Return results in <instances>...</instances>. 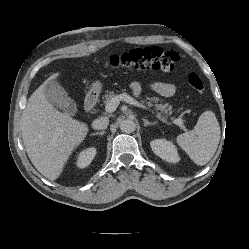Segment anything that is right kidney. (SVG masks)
I'll use <instances>...</instances> for the list:
<instances>
[{"label": "right kidney", "instance_id": "ca27d5eb", "mask_svg": "<svg viewBox=\"0 0 249 249\" xmlns=\"http://www.w3.org/2000/svg\"><path fill=\"white\" fill-rule=\"evenodd\" d=\"M95 155H96V149L93 147L81 151L77 156V161H76L77 167L79 168L87 167L88 165H90Z\"/></svg>", "mask_w": 249, "mask_h": 249}]
</instances>
